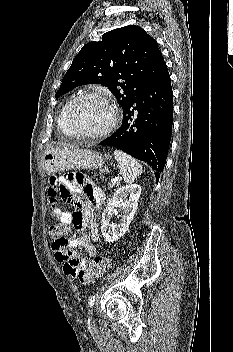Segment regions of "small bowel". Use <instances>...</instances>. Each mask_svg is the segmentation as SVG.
Segmentation results:
<instances>
[{
	"label": "small bowel",
	"instance_id": "1",
	"mask_svg": "<svg viewBox=\"0 0 233 352\" xmlns=\"http://www.w3.org/2000/svg\"><path fill=\"white\" fill-rule=\"evenodd\" d=\"M87 198L89 202L85 201ZM59 200L71 204L76 203L74 210H62ZM105 200L103 191L90 179L80 173H68L60 177H52L48 188V201L52 218L75 232L67 240L66 246L54 241L52 249L55 259L63 263L64 272L76 277L86 267L84 252L90 257L96 255L94 243L99 239V228L90 215L97 212Z\"/></svg>",
	"mask_w": 233,
	"mask_h": 352
}]
</instances>
